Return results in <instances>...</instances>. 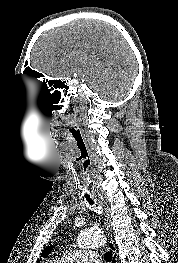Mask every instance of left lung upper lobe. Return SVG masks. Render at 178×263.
<instances>
[{"label": "left lung upper lobe", "instance_id": "left-lung-upper-lobe-1", "mask_svg": "<svg viewBox=\"0 0 178 263\" xmlns=\"http://www.w3.org/2000/svg\"><path fill=\"white\" fill-rule=\"evenodd\" d=\"M53 247H54L53 245L46 247V248L43 250L41 256H42V257H47V256L50 254V252L52 251ZM37 263H39V260H37Z\"/></svg>", "mask_w": 178, "mask_h": 263}]
</instances>
